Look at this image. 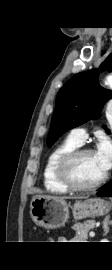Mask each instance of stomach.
Here are the masks:
<instances>
[{
	"label": "stomach",
	"mask_w": 112,
	"mask_h": 270,
	"mask_svg": "<svg viewBox=\"0 0 112 270\" xmlns=\"http://www.w3.org/2000/svg\"><path fill=\"white\" fill-rule=\"evenodd\" d=\"M111 205L100 198L76 201L72 213L76 220L86 217L103 216L110 211ZM30 215L34 223L46 229L63 226L69 218L67 202L61 198L34 197L30 203Z\"/></svg>",
	"instance_id": "stomach-1"
}]
</instances>
